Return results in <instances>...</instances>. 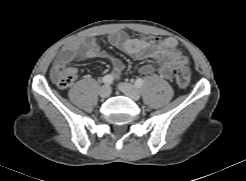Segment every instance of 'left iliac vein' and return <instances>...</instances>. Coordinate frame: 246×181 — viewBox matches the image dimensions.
<instances>
[{
    "instance_id": "4c4485c4",
    "label": "left iliac vein",
    "mask_w": 246,
    "mask_h": 181,
    "mask_svg": "<svg viewBox=\"0 0 246 181\" xmlns=\"http://www.w3.org/2000/svg\"><path fill=\"white\" fill-rule=\"evenodd\" d=\"M119 89L134 101L139 100L141 97V93L139 89L130 83H126V82L120 83Z\"/></svg>"
}]
</instances>
